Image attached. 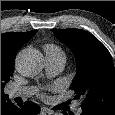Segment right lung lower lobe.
Here are the masks:
<instances>
[{"label":"right lung lower lobe","mask_w":115,"mask_h":115,"mask_svg":"<svg viewBox=\"0 0 115 115\" xmlns=\"http://www.w3.org/2000/svg\"><path fill=\"white\" fill-rule=\"evenodd\" d=\"M39 112L40 107L31 101H27L19 107L14 106L10 100L1 102V115H36Z\"/></svg>","instance_id":"right-lung-lower-lobe-1"}]
</instances>
